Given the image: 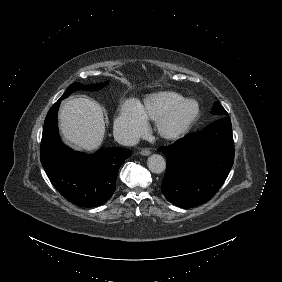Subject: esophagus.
<instances>
[{
  "instance_id": "obj_1",
  "label": "esophagus",
  "mask_w": 282,
  "mask_h": 282,
  "mask_svg": "<svg viewBox=\"0 0 282 282\" xmlns=\"http://www.w3.org/2000/svg\"><path fill=\"white\" fill-rule=\"evenodd\" d=\"M140 154L143 155V156H148V155L151 154V152L148 149H143V150H141Z\"/></svg>"
}]
</instances>
